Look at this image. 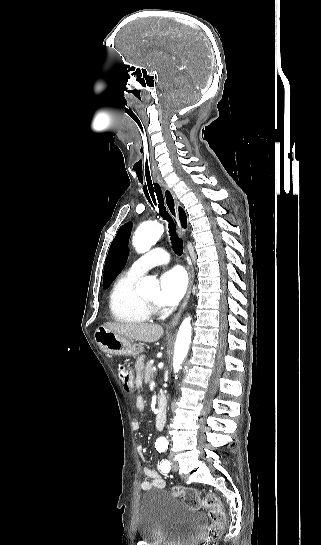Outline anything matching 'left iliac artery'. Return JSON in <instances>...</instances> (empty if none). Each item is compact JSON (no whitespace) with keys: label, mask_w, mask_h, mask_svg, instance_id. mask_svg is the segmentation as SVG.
<instances>
[{"label":"left iliac artery","mask_w":321,"mask_h":545,"mask_svg":"<svg viewBox=\"0 0 321 545\" xmlns=\"http://www.w3.org/2000/svg\"><path fill=\"white\" fill-rule=\"evenodd\" d=\"M156 448H157L158 452L161 453V452H164V451L167 449V446H165V445H160V446H157ZM170 465H171L170 461L164 460V461L159 465V468H160V470H161L162 472L167 473V472L170 471Z\"/></svg>","instance_id":"44dca946"}]
</instances>
